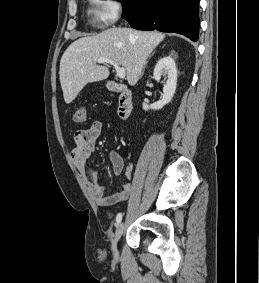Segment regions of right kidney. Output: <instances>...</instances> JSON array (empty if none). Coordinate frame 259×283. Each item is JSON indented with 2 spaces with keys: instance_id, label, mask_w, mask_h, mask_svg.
<instances>
[{
  "instance_id": "ca27d5eb",
  "label": "right kidney",
  "mask_w": 259,
  "mask_h": 283,
  "mask_svg": "<svg viewBox=\"0 0 259 283\" xmlns=\"http://www.w3.org/2000/svg\"><path fill=\"white\" fill-rule=\"evenodd\" d=\"M153 76L156 81H159L161 76L167 78V81L163 87L162 99L150 106L143 103L145 111L148 109L159 110L172 100L177 84V68L174 59L171 56L160 59L154 68Z\"/></svg>"
}]
</instances>
